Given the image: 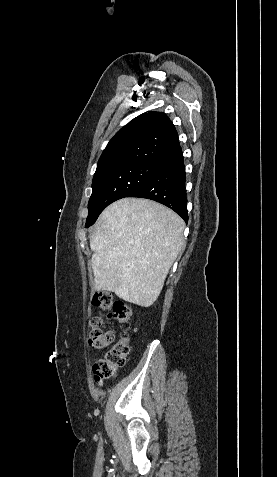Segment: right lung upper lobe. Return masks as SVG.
I'll use <instances>...</instances> for the list:
<instances>
[{"instance_id": "1", "label": "right lung upper lobe", "mask_w": 277, "mask_h": 477, "mask_svg": "<svg viewBox=\"0 0 277 477\" xmlns=\"http://www.w3.org/2000/svg\"><path fill=\"white\" fill-rule=\"evenodd\" d=\"M177 131L162 112H146L130 121L109 141L95 173L126 164L159 167L180 153Z\"/></svg>"}]
</instances>
